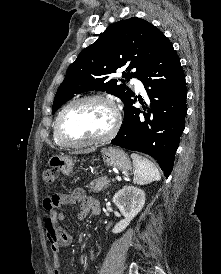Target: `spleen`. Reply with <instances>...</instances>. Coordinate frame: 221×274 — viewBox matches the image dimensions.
Listing matches in <instances>:
<instances>
[{
	"label": "spleen",
	"instance_id": "3e777b00",
	"mask_svg": "<svg viewBox=\"0 0 221 274\" xmlns=\"http://www.w3.org/2000/svg\"><path fill=\"white\" fill-rule=\"evenodd\" d=\"M133 161V183L146 185L153 181H160L161 175L157 167L149 159L136 153L131 155Z\"/></svg>",
	"mask_w": 221,
	"mask_h": 274
}]
</instances>
